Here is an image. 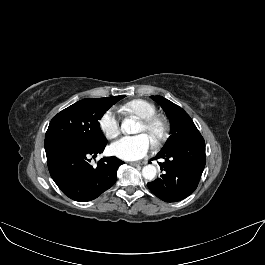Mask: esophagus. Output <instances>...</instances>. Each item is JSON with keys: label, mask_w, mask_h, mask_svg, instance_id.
Returning <instances> with one entry per match:
<instances>
[{"label": "esophagus", "mask_w": 265, "mask_h": 265, "mask_svg": "<svg viewBox=\"0 0 265 265\" xmlns=\"http://www.w3.org/2000/svg\"><path fill=\"white\" fill-rule=\"evenodd\" d=\"M130 164L133 166H137V165H144V164H146V162L145 161H138V162H131Z\"/></svg>", "instance_id": "34e87169"}]
</instances>
